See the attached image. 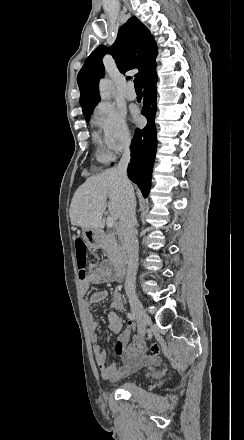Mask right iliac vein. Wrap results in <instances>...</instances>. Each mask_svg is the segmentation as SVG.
Wrapping results in <instances>:
<instances>
[{"label": "right iliac vein", "instance_id": "1", "mask_svg": "<svg viewBox=\"0 0 244 440\" xmlns=\"http://www.w3.org/2000/svg\"><path fill=\"white\" fill-rule=\"evenodd\" d=\"M129 303L133 313L137 316L139 323L138 338L143 339L147 330V324L151 322L150 317L147 315L145 309L142 306L141 301L135 295L129 296Z\"/></svg>", "mask_w": 244, "mask_h": 440}]
</instances>
